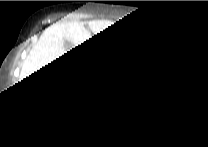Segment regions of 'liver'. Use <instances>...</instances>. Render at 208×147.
Masks as SVG:
<instances>
[{"mask_svg": "<svg viewBox=\"0 0 208 147\" xmlns=\"http://www.w3.org/2000/svg\"><path fill=\"white\" fill-rule=\"evenodd\" d=\"M113 24L105 21L67 22L48 27L25 58L20 79L29 77L66 54L69 46L67 42L70 41L75 46L81 45L92 34H100Z\"/></svg>", "mask_w": 208, "mask_h": 147, "instance_id": "liver-1", "label": "liver"}]
</instances>
